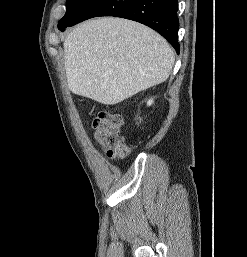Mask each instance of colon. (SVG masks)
I'll use <instances>...</instances> for the list:
<instances>
[{
	"label": "colon",
	"instance_id": "obj_1",
	"mask_svg": "<svg viewBox=\"0 0 247 257\" xmlns=\"http://www.w3.org/2000/svg\"><path fill=\"white\" fill-rule=\"evenodd\" d=\"M122 118L118 114L101 111L93 121L94 139L109 157H124L128 148L120 138Z\"/></svg>",
	"mask_w": 247,
	"mask_h": 257
}]
</instances>
